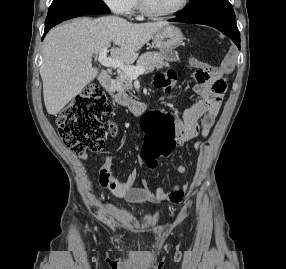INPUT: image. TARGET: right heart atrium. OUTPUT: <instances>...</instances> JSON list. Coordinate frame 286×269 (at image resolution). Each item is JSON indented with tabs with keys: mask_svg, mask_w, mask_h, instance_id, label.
<instances>
[{
	"mask_svg": "<svg viewBox=\"0 0 286 269\" xmlns=\"http://www.w3.org/2000/svg\"><path fill=\"white\" fill-rule=\"evenodd\" d=\"M104 4L116 15L125 16L132 10V0H103Z\"/></svg>",
	"mask_w": 286,
	"mask_h": 269,
	"instance_id": "1",
	"label": "right heart atrium"
}]
</instances>
